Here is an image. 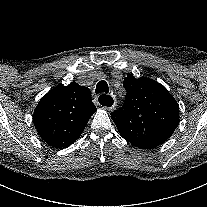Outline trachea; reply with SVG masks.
Wrapping results in <instances>:
<instances>
[{
  "instance_id": "1",
  "label": "trachea",
  "mask_w": 207,
  "mask_h": 207,
  "mask_svg": "<svg viewBox=\"0 0 207 207\" xmlns=\"http://www.w3.org/2000/svg\"><path fill=\"white\" fill-rule=\"evenodd\" d=\"M109 87L106 81H100L96 85V93H108ZM99 103L103 106H111L113 104V99L110 96L102 94L99 97Z\"/></svg>"
}]
</instances>
